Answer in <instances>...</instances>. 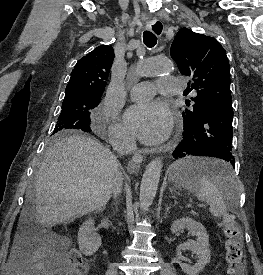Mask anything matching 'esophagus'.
<instances>
[{
	"label": "esophagus",
	"instance_id": "esophagus-1",
	"mask_svg": "<svg viewBox=\"0 0 263 275\" xmlns=\"http://www.w3.org/2000/svg\"><path fill=\"white\" fill-rule=\"evenodd\" d=\"M147 29L153 32L157 36H161L164 31V25L161 22H155L153 24L147 25ZM143 161L142 151L136 152L132 157V164L130 168L136 170L138 165Z\"/></svg>",
	"mask_w": 263,
	"mask_h": 275
}]
</instances>
